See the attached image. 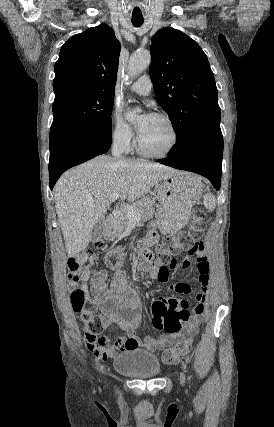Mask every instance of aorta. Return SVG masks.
<instances>
[{
  "label": "aorta",
  "instance_id": "aorta-1",
  "mask_svg": "<svg viewBox=\"0 0 274 427\" xmlns=\"http://www.w3.org/2000/svg\"><path fill=\"white\" fill-rule=\"evenodd\" d=\"M151 62V55L148 50L137 51L132 54L128 64V76L135 77L149 67ZM135 114L132 113L128 116L129 120H133Z\"/></svg>",
  "mask_w": 274,
  "mask_h": 427
}]
</instances>
